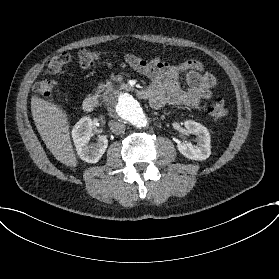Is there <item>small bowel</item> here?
<instances>
[{
  "label": "small bowel",
  "mask_w": 279,
  "mask_h": 279,
  "mask_svg": "<svg viewBox=\"0 0 279 279\" xmlns=\"http://www.w3.org/2000/svg\"><path fill=\"white\" fill-rule=\"evenodd\" d=\"M125 60L151 80L145 93L154 109H163L167 105L196 107L212 96V89L218 84L212 73L204 71L199 60L171 63L158 57L145 59L133 54L126 55ZM182 73H186V88L180 83Z\"/></svg>",
  "instance_id": "small-bowel-1"
}]
</instances>
